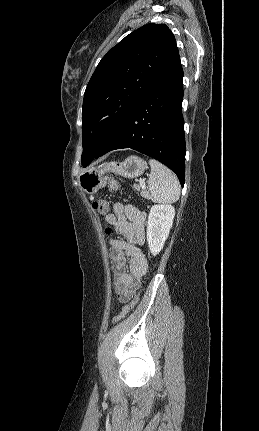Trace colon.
I'll return each instance as SVG.
<instances>
[{
    "instance_id": "5ec220e1",
    "label": "colon",
    "mask_w": 259,
    "mask_h": 431,
    "mask_svg": "<svg viewBox=\"0 0 259 431\" xmlns=\"http://www.w3.org/2000/svg\"><path fill=\"white\" fill-rule=\"evenodd\" d=\"M109 186L112 190H117L118 188L117 182L112 178L109 179ZM93 207L97 212L104 214L109 211L110 203L109 201H106V200H100V201L94 202ZM105 232L106 234H110L111 228L107 227L105 229ZM137 302H138V295H135L128 301L126 305H124L121 312L114 317L113 323L116 324L122 321L123 319H125L128 316V314L135 308Z\"/></svg>"
}]
</instances>
